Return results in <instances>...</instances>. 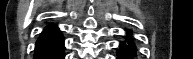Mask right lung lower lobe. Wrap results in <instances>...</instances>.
<instances>
[{
    "instance_id": "right-lung-lower-lobe-1",
    "label": "right lung lower lobe",
    "mask_w": 193,
    "mask_h": 59,
    "mask_svg": "<svg viewBox=\"0 0 193 59\" xmlns=\"http://www.w3.org/2000/svg\"><path fill=\"white\" fill-rule=\"evenodd\" d=\"M34 59H64L62 34L58 33L38 39Z\"/></svg>"
}]
</instances>
